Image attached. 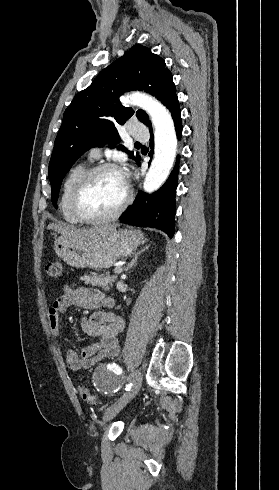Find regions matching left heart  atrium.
<instances>
[{
    "instance_id": "39dd6f15",
    "label": "left heart atrium",
    "mask_w": 279,
    "mask_h": 490,
    "mask_svg": "<svg viewBox=\"0 0 279 490\" xmlns=\"http://www.w3.org/2000/svg\"><path fill=\"white\" fill-rule=\"evenodd\" d=\"M123 178H124V183L127 184V180H126L125 175H123Z\"/></svg>"
}]
</instances>
